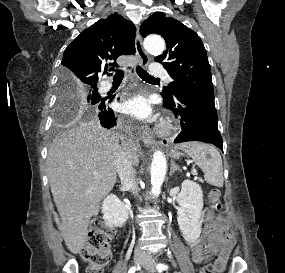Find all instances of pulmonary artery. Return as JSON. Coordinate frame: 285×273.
<instances>
[{"instance_id": "obj_1", "label": "pulmonary artery", "mask_w": 285, "mask_h": 273, "mask_svg": "<svg viewBox=\"0 0 285 273\" xmlns=\"http://www.w3.org/2000/svg\"><path fill=\"white\" fill-rule=\"evenodd\" d=\"M149 70H150V73L154 77L164 78L167 82L171 81V77L168 74L167 70L164 67L160 66L159 64L153 63L150 66ZM111 87H112V84L109 81L103 82L100 85V89L104 90V91H107V90L111 89Z\"/></svg>"}]
</instances>
